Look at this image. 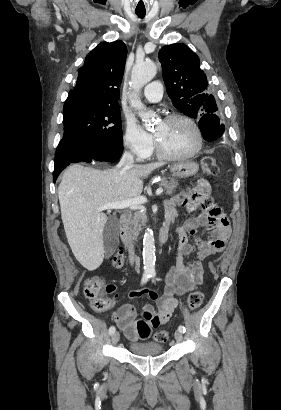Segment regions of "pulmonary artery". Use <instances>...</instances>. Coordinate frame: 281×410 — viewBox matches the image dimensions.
I'll return each instance as SVG.
<instances>
[{
	"label": "pulmonary artery",
	"mask_w": 281,
	"mask_h": 410,
	"mask_svg": "<svg viewBox=\"0 0 281 410\" xmlns=\"http://www.w3.org/2000/svg\"><path fill=\"white\" fill-rule=\"evenodd\" d=\"M162 93V83L159 81H153L144 88L143 96L148 102L156 103L162 99Z\"/></svg>",
	"instance_id": "e3ab8cb5"
}]
</instances>
